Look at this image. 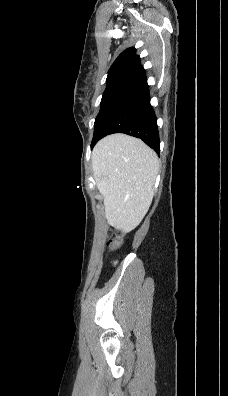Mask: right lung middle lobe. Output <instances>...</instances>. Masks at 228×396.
Masks as SVG:
<instances>
[{"mask_svg":"<svg viewBox=\"0 0 228 396\" xmlns=\"http://www.w3.org/2000/svg\"><path fill=\"white\" fill-rule=\"evenodd\" d=\"M124 88V86L120 85H112L106 87L102 96L100 111L95 119V125L99 118L102 116L103 112L108 107V105L121 93Z\"/></svg>","mask_w":228,"mask_h":396,"instance_id":"dd1d6c3e","label":"right lung middle lobe"}]
</instances>
